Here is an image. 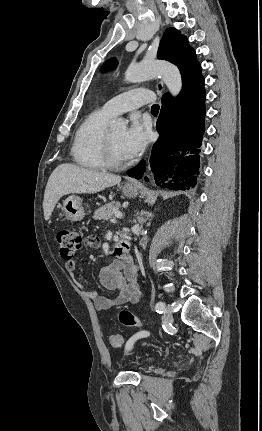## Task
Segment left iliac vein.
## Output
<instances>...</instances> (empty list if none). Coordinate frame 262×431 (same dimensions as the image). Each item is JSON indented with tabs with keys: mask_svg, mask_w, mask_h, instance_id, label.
Here are the masks:
<instances>
[{
	"mask_svg": "<svg viewBox=\"0 0 262 431\" xmlns=\"http://www.w3.org/2000/svg\"><path fill=\"white\" fill-rule=\"evenodd\" d=\"M165 323L171 325L173 323V317L171 314V308L167 307L165 309Z\"/></svg>",
	"mask_w": 262,
	"mask_h": 431,
	"instance_id": "4c4485c4",
	"label": "left iliac vein"
}]
</instances>
